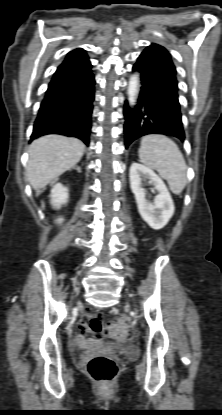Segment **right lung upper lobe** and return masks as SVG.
I'll return each instance as SVG.
<instances>
[{"mask_svg":"<svg viewBox=\"0 0 222 415\" xmlns=\"http://www.w3.org/2000/svg\"><path fill=\"white\" fill-rule=\"evenodd\" d=\"M73 51H84L83 49H75V50H73ZM72 52V51H71Z\"/></svg>","mask_w":222,"mask_h":415,"instance_id":"obj_1","label":"right lung upper lobe"}]
</instances>
